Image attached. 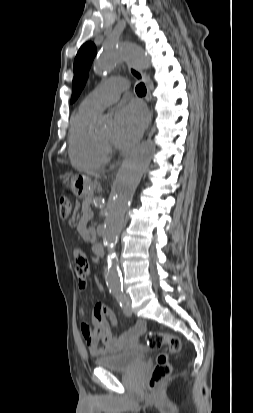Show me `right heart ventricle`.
<instances>
[{
    "instance_id": "e07e8e85",
    "label": "right heart ventricle",
    "mask_w": 253,
    "mask_h": 413,
    "mask_svg": "<svg viewBox=\"0 0 253 413\" xmlns=\"http://www.w3.org/2000/svg\"><path fill=\"white\" fill-rule=\"evenodd\" d=\"M97 114L81 105L71 117L68 153L76 166L94 169L107 161V151L101 147L92 131Z\"/></svg>"
}]
</instances>
